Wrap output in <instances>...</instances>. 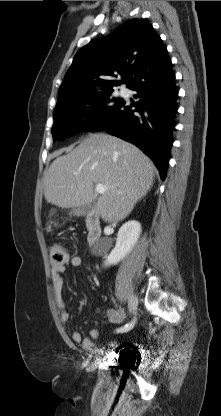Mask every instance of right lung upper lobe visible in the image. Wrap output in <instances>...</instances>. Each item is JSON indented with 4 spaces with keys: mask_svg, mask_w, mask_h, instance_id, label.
Wrapping results in <instances>:
<instances>
[{
    "mask_svg": "<svg viewBox=\"0 0 221 416\" xmlns=\"http://www.w3.org/2000/svg\"><path fill=\"white\" fill-rule=\"evenodd\" d=\"M167 49L152 25L132 19L110 36L90 41L75 55L60 86L57 105L113 90L123 80L127 87L171 70Z\"/></svg>",
    "mask_w": 221,
    "mask_h": 416,
    "instance_id": "cb5924a9",
    "label": "right lung upper lobe"
}]
</instances>
